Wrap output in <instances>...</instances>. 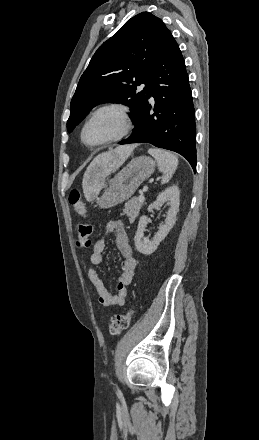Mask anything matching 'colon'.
<instances>
[{
  "label": "colon",
  "instance_id": "colon-1",
  "mask_svg": "<svg viewBox=\"0 0 259 440\" xmlns=\"http://www.w3.org/2000/svg\"><path fill=\"white\" fill-rule=\"evenodd\" d=\"M69 202L75 208L81 221L78 224V245L80 247H89L93 238V226L88 219L85 204L81 199L80 192L73 189L69 195ZM134 316V310L128 309L125 314L115 315L109 322V331L113 335H119L125 331Z\"/></svg>",
  "mask_w": 259,
  "mask_h": 440
}]
</instances>
